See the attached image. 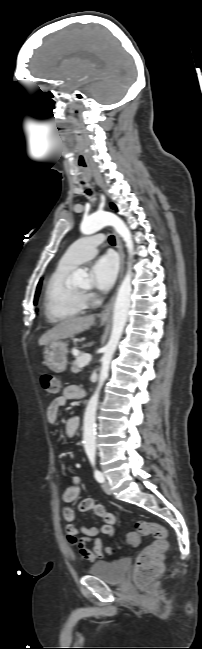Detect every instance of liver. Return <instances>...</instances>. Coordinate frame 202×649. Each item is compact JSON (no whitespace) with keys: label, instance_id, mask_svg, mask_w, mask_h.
<instances>
[{"label":"liver","instance_id":"liver-1","mask_svg":"<svg viewBox=\"0 0 202 649\" xmlns=\"http://www.w3.org/2000/svg\"><path fill=\"white\" fill-rule=\"evenodd\" d=\"M94 321L95 317L93 315L66 319L43 334L38 343L40 346H43L50 342L84 332L93 325Z\"/></svg>","mask_w":202,"mask_h":649}]
</instances>
